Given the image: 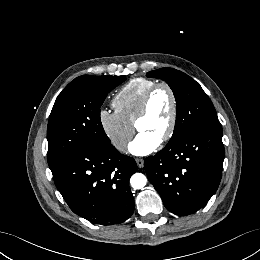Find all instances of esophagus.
I'll use <instances>...</instances> for the list:
<instances>
[{"label":"esophagus","mask_w":260,"mask_h":260,"mask_svg":"<svg viewBox=\"0 0 260 260\" xmlns=\"http://www.w3.org/2000/svg\"><path fill=\"white\" fill-rule=\"evenodd\" d=\"M136 163L139 168H142L144 165V160L142 158H136Z\"/></svg>","instance_id":"obj_1"}]
</instances>
